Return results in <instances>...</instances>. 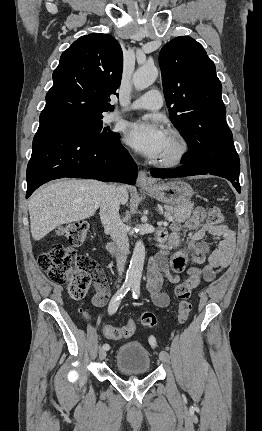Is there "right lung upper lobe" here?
<instances>
[{"label": "right lung upper lobe", "mask_w": 262, "mask_h": 431, "mask_svg": "<svg viewBox=\"0 0 262 431\" xmlns=\"http://www.w3.org/2000/svg\"><path fill=\"white\" fill-rule=\"evenodd\" d=\"M123 70L122 49L109 34H89L76 40L60 57L54 84L46 95L40 126L112 111Z\"/></svg>", "instance_id": "cb5924a9"}]
</instances>
